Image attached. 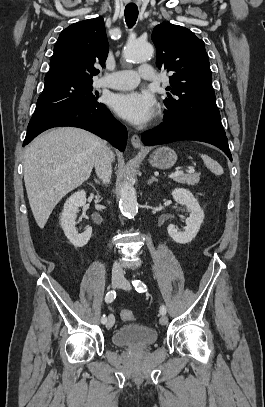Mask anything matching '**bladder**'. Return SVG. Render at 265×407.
<instances>
[{"label": "bladder", "mask_w": 265, "mask_h": 407, "mask_svg": "<svg viewBox=\"0 0 265 407\" xmlns=\"http://www.w3.org/2000/svg\"><path fill=\"white\" fill-rule=\"evenodd\" d=\"M158 338L156 330L144 325L128 324L120 327L113 335V343L134 349L146 348Z\"/></svg>", "instance_id": "31cf9c89"}]
</instances>
